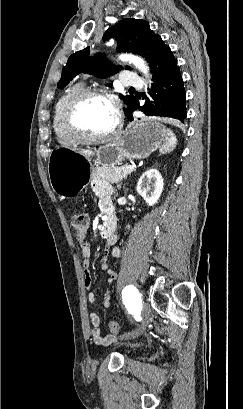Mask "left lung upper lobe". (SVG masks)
Returning a JSON list of instances; mask_svg holds the SVG:
<instances>
[{"label":"left lung upper lobe","mask_w":243,"mask_h":409,"mask_svg":"<svg viewBox=\"0 0 243 409\" xmlns=\"http://www.w3.org/2000/svg\"><path fill=\"white\" fill-rule=\"evenodd\" d=\"M115 38L117 50L132 52L144 57L153 75L174 60L171 49L155 34L148 22L140 19H123L109 28L103 39ZM122 67L108 62L103 54H97L91 59L89 47L73 53L63 67L62 76L57 86H66L74 77L85 72L97 77L106 78L117 73ZM130 69V67H126ZM127 105V111L132 107L136 97L121 96ZM126 111V112H127Z\"/></svg>","instance_id":"left-lung-upper-lobe-1"}]
</instances>
